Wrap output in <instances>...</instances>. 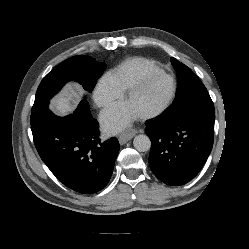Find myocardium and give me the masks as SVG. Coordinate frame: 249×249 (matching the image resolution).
<instances>
[{
  "instance_id": "obj_1",
  "label": "myocardium",
  "mask_w": 249,
  "mask_h": 249,
  "mask_svg": "<svg viewBox=\"0 0 249 249\" xmlns=\"http://www.w3.org/2000/svg\"><path fill=\"white\" fill-rule=\"evenodd\" d=\"M159 78H167L171 81L172 88H171L170 95L160 107L152 111H149L147 113H144L142 115H139L138 117L141 120H148V119L158 117L169 109V107L172 105L176 97V92H177V83H176L175 78L172 75L167 74L165 72H159V73L146 75L143 78H141L139 81H137L135 84H133L127 90L124 96V100H128L129 98L133 97L136 93H138L141 89H143L145 86H147L150 82H152L153 80L159 79Z\"/></svg>"
}]
</instances>
